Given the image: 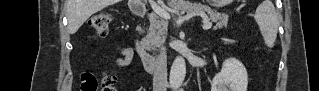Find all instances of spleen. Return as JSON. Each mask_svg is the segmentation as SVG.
Returning a JSON list of instances; mask_svg holds the SVG:
<instances>
[{
	"mask_svg": "<svg viewBox=\"0 0 319 91\" xmlns=\"http://www.w3.org/2000/svg\"><path fill=\"white\" fill-rule=\"evenodd\" d=\"M254 19L259 26L265 44L272 48L277 37L279 16L271 0H265L257 7Z\"/></svg>",
	"mask_w": 319,
	"mask_h": 91,
	"instance_id": "spleen-1",
	"label": "spleen"
}]
</instances>
